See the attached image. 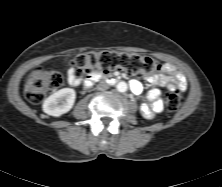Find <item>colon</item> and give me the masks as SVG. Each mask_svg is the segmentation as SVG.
<instances>
[{"label":"colon","instance_id":"5ec220e1","mask_svg":"<svg viewBox=\"0 0 222 187\" xmlns=\"http://www.w3.org/2000/svg\"><path fill=\"white\" fill-rule=\"evenodd\" d=\"M72 68L82 77L89 79L94 75L123 70L131 75H152L161 69L159 61L149 57L110 51L81 54L71 60ZM62 76L56 71L42 67L34 68L27 77L24 94L33 104L43 101L48 92L61 87ZM179 93H170L166 98V108L175 112L181 105Z\"/></svg>","mask_w":222,"mask_h":187}]
</instances>
